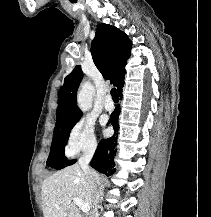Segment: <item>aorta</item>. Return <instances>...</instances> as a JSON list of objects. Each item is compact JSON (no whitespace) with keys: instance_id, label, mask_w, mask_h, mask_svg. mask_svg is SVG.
Listing matches in <instances>:
<instances>
[{"instance_id":"aorta-1","label":"aorta","mask_w":211,"mask_h":217,"mask_svg":"<svg viewBox=\"0 0 211 217\" xmlns=\"http://www.w3.org/2000/svg\"><path fill=\"white\" fill-rule=\"evenodd\" d=\"M93 94H94L93 85L88 81L84 82L77 95V103L79 108L82 111L85 112L91 108Z\"/></svg>"}]
</instances>
